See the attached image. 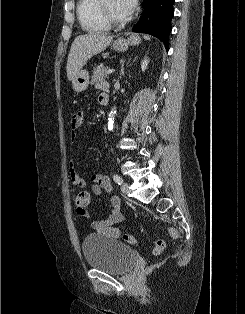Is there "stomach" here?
I'll list each match as a JSON object with an SVG mask.
<instances>
[{
    "instance_id": "0dacf381",
    "label": "stomach",
    "mask_w": 245,
    "mask_h": 314,
    "mask_svg": "<svg viewBox=\"0 0 245 314\" xmlns=\"http://www.w3.org/2000/svg\"><path fill=\"white\" fill-rule=\"evenodd\" d=\"M140 43V37L136 35H130L127 39H117L113 43V49L118 52H124L128 49L129 45H138ZM89 85V73L87 70L81 69L72 80V87L77 93L83 92Z\"/></svg>"
}]
</instances>
